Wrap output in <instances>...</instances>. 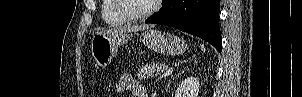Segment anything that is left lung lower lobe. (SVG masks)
<instances>
[{
	"mask_svg": "<svg viewBox=\"0 0 302 97\" xmlns=\"http://www.w3.org/2000/svg\"><path fill=\"white\" fill-rule=\"evenodd\" d=\"M219 10L220 0H164L161 9L146 22L174 27L198 36L221 52Z\"/></svg>",
	"mask_w": 302,
	"mask_h": 97,
	"instance_id": "obj_1",
	"label": "left lung lower lobe"
}]
</instances>
